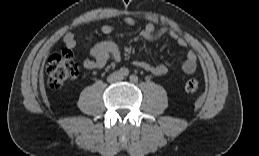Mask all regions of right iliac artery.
Segmentation results:
<instances>
[{
	"instance_id": "obj_1",
	"label": "right iliac artery",
	"mask_w": 259,
	"mask_h": 156,
	"mask_svg": "<svg viewBox=\"0 0 259 156\" xmlns=\"http://www.w3.org/2000/svg\"><path fill=\"white\" fill-rule=\"evenodd\" d=\"M119 74H120L121 76H123V77L128 76L129 70H128L127 68L123 67V68H121V69L119 70Z\"/></svg>"
}]
</instances>
